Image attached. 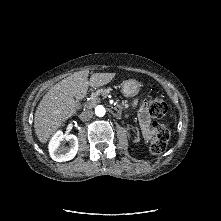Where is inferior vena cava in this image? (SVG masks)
Wrapping results in <instances>:
<instances>
[{
	"instance_id": "1",
	"label": "inferior vena cava",
	"mask_w": 221,
	"mask_h": 221,
	"mask_svg": "<svg viewBox=\"0 0 221 221\" xmlns=\"http://www.w3.org/2000/svg\"><path fill=\"white\" fill-rule=\"evenodd\" d=\"M93 115L94 112L92 110H86L79 115V118L82 121H89L93 117Z\"/></svg>"
}]
</instances>
